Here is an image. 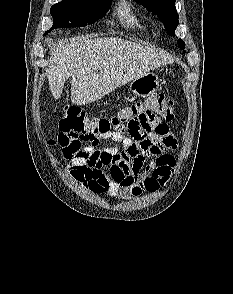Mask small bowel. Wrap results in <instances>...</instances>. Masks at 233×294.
Masks as SVG:
<instances>
[{
    "instance_id": "1",
    "label": "small bowel",
    "mask_w": 233,
    "mask_h": 294,
    "mask_svg": "<svg viewBox=\"0 0 233 294\" xmlns=\"http://www.w3.org/2000/svg\"><path fill=\"white\" fill-rule=\"evenodd\" d=\"M128 113H133L126 114L129 120L120 121L125 136L114 133L110 137L119 148L73 158L66 167L71 178L93 193L129 199L143 191H156L173 172L175 159L167 152L176 149L177 141L164 123L167 117H161V110L128 108Z\"/></svg>"
}]
</instances>
